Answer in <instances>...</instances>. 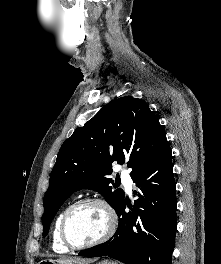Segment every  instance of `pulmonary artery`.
Returning a JSON list of instances; mask_svg holds the SVG:
<instances>
[{"label": "pulmonary artery", "mask_w": 221, "mask_h": 264, "mask_svg": "<svg viewBox=\"0 0 221 264\" xmlns=\"http://www.w3.org/2000/svg\"><path fill=\"white\" fill-rule=\"evenodd\" d=\"M121 178H122L124 185L126 186L127 191H130L132 181H131L129 173L126 170H122Z\"/></svg>", "instance_id": "e3ab8cb5"}]
</instances>
